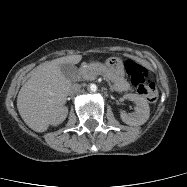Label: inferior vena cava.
I'll return each mask as SVG.
<instances>
[{
  "instance_id": "602c4592",
  "label": "inferior vena cava",
  "mask_w": 187,
  "mask_h": 187,
  "mask_svg": "<svg viewBox=\"0 0 187 187\" xmlns=\"http://www.w3.org/2000/svg\"><path fill=\"white\" fill-rule=\"evenodd\" d=\"M81 89V85L78 84V83H74L70 86V89H69V94H76L80 91Z\"/></svg>"
}]
</instances>
